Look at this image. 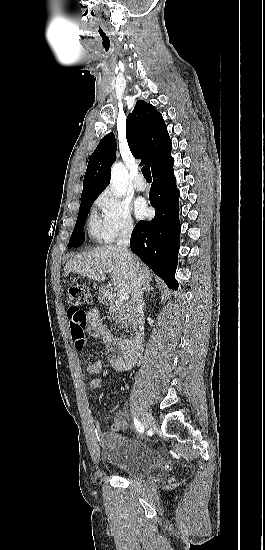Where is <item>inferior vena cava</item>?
<instances>
[{"label":"inferior vena cava","mask_w":265,"mask_h":550,"mask_svg":"<svg viewBox=\"0 0 265 550\" xmlns=\"http://www.w3.org/2000/svg\"><path fill=\"white\" fill-rule=\"evenodd\" d=\"M133 230V225L128 224L126 225L120 232L119 238L117 240V246L122 251L123 256L126 260V262L129 264L130 267V274L132 277V303H133V309L135 312L136 321L139 325V327H143L144 325V319H143V310H142V302L140 300V291H141V285L137 276L136 268L134 266L133 257L132 254L128 250V245L130 242L131 234Z\"/></svg>","instance_id":"inferior-vena-cava-1"}]
</instances>
